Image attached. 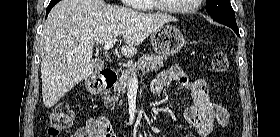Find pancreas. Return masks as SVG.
<instances>
[{"mask_svg":"<svg viewBox=\"0 0 280 137\" xmlns=\"http://www.w3.org/2000/svg\"><path fill=\"white\" fill-rule=\"evenodd\" d=\"M164 57L161 55H144L138 59V61L132 64L129 69L122 73L121 77L118 79L114 85V90L117 93L124 94L125 89L131 83V78L133 75H136L137 72L141 71L143 74L148 73L149 71H158L163 67ZM118 100V95L110 96L108 93L104 97L105 104L114 106Z\"/></svg>","mask_w":280,"mask_h":137,"instance_id":"1","label":"pancreas"}]
</instances>
